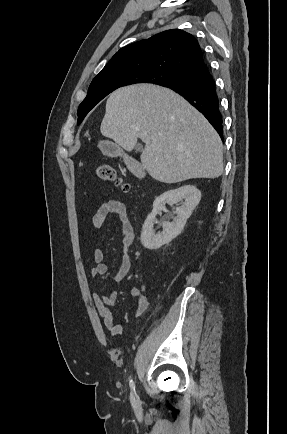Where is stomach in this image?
I'll use <instances>...</instances> for the list:
<instances>
[{
  "mask_svg": "<svg viewBox=\"0 0 287 434\" xmlns=\"http://www.w3.org/2000/svg\"><path fill=\"white\" fill-rule=\"evenodd\" d=\"M99 147L101 151L107 156L110 157L122 156L124 157L125 161H129V158L124 154L120 146L115 143L109 141H101L99 143Z\"/></svg>",
  "mask_w": 287,
  "mask_h": 434,
  "instance_id": "1",
  "label": "stomach"
}]
</instances>
